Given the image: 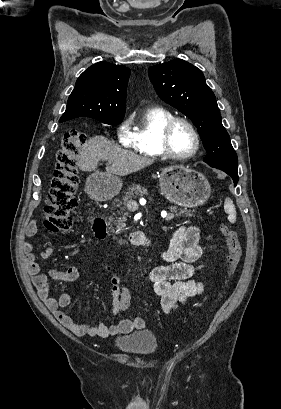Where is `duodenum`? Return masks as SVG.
Returning a JSON list of instances; mask_svg holds the SVG:
<instances>
[{"instance_id": "1", "label": "duodenum", "mask_w": 281, "mask_h": 409, "mask_svg": "<svg viewBox=\"0 0 281 409\" xmlns=\"http://www.w3.org/2000/svg\"><path fill=\"white\" fill-rule=\"evenodd\" d=\"M93 231L97 237H104L107 234L108 227L105 219L100 216L93 220ZM129 241L136 246H143L146 244L144 235L140 232H133L129 235Z\"/></svg>"}]
</instances>
